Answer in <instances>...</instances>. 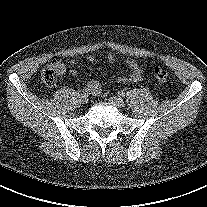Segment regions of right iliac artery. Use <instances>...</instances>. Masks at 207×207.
Here are the masks:
<instances>
[{"instance_id":"1","label":"right iliac artery","mask_w":207,"mask_h":207,"mask_svg":"<svg viewBox=\"0 0 207 207\" xmlns=\"http://www.w3.org/2000/svg\"><path fill=\"white\" fill-rule=\"evenodd\" d=\"M82 92H83L84 95H88L89 94V90L87 88H84L82 90Z\"/></svg>"}]
</instances>
